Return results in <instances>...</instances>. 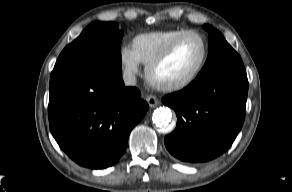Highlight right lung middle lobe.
<instances>
[{"label":"right lung middle lobe","instance_id":"1","mask_svg":"<svg viewBox=\"0 0 292 192\" xmlns=\"http://www.w3.org/2000/svg\"><path fill=\"white\" fill-rule=\"evenodd\" d=\"M123 32L115 22L91 23L80 36L65 47L58 59H101L121 69L120 43Z\"/></svg>","mask_w":292,"mask_h":192}]
</instances>
